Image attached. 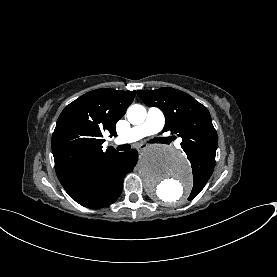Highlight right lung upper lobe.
Returning a JSON list of instances; mask_svg holds the SVG:
<instances>
[{"mask_svg": "<svg viewBox=\"0 0 277 277\" xmlns=\"http://www.w3.org/2000/svg\"><path fill=\"white\" fill-rule=\"evenodd\" d=\"M135 97V91L97 89L69 105L60 114L52 136L55 170L61 184L98 160L116 153L103 152V134L116 136V122Z\"/></svg>", "mask_w": 277, "mask_h": 277, "instance_id": "cb5924a9", "label": "right lung upper lobe"}]
</instances>
